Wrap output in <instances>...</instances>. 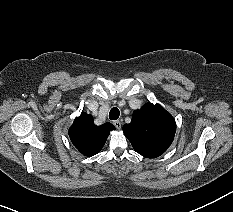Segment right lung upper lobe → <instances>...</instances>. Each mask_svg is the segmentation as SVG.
<instances>
[{
    "label": "right lung upper lobe",
    "mask_w": 233,
    "mask_h": 212,
    "mask_svg": "<svg viewBox=\"0 0 233 212\" xmlns=\"http://www.w3.org/2000/svg\"><path fill=\"white\" fill-rule=\"evenodd\" d=\"M114 129L111 123L96 126L92 116L83 112L74 120L69 129V136L73 145L82 154L93 156L102 149L110 131Z\"/></svg>",
    "instance_id": "1"
}]
</instances>
